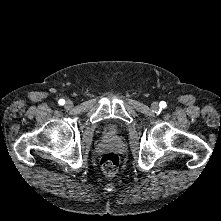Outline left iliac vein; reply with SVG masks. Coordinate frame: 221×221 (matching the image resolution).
Wrapping results in <instances>:
<instances>
[{
  "instance_id": "4c4485c4",
  "label": "left iliac vein",
  "mask_w": 221,
  "mask_h": 221,
  "mask_svg": "<svg viewBox=\"0 0 221 221\" xmlns=\"http://www.w3.org/2000/svg\"><path fill=\"white\" fill-rule=\"evenodd\" d=\"M152 109H153L154 111H157V110L159 109V104H158V102H153V103H152Z\"/></svg>"
}]
</instances>
